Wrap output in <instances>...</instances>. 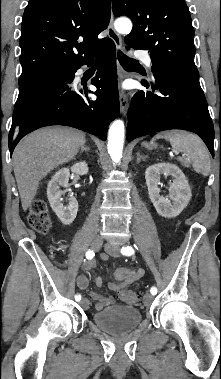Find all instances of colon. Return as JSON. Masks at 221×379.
<instances>
[{"mask_svg":"<svg viewBox=\"0 0 221 379\" xmlns=\"http://www.w3.org/2000/svg\"><path fill=\"white\" fill-rule=\"evenodd\" d=\"M28 221L30 226L40 234H46L51 228V219L47 204L42 200H36L33 202ZM119 297L122 301L128 304H139L141 302V294L134 291H121Z\"/></svg>","mask_w":221,"mask_h":379,"instance_id":"5ec220e1","label":"colon"}]
</instances>
